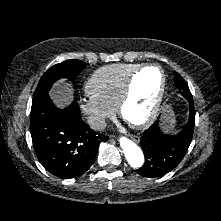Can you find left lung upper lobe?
I'll return each mask as SVG.
<instances>
[{"label": "left lung upper lobe", "instance_id": "1", "mask_svg": "<svg viewBox=\"0 0 221 221\" xmlns=\"http://www.w3.org/2000/svg\"><path fill=\"white\" fill-rule=\"evenodd\" d=\"M174 81H175V86L180 90L183 97H185L186 99H191L192 95H191V92L189 90L187 83L181 77V75L177 72H175L174 74Z\"/></svg>", "mask_w": 221, "mask_h": 221}]
</instances>
